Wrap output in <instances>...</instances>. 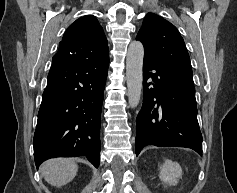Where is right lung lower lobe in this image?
<instances>
[{
  "label": "right lung lower lobe",
  "instance_id": "obj_1",
  "mask_svg": "<svg viewBox=\"0 0 237 193\" xmlns=\"http://www.w3.org/2000/svg\"><path fill=\"white\" fill-rule=\"evenodd\" d=\"M109 57L80 62L55 54L34 134V158L86 156L100 162L101 108Z\"/></svg>",
  "mask_w": 237,
  "mask_h": 193
}]
</instances>
